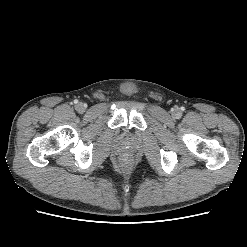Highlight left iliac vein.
Wrapping results in <instances>:
<instances>
[{"label": "left iliac vein", "instance_id": "4c4485c4", "mask_svg": "<svg viewBox=\"0 0 247 247\" xmlns=\"http://www.w3.org/2000/svg\"><path fill=\"white\" fill-rule=\"evenodd\" d=\"M179 114H180V112H179L178 110H174L173 115H174L175 117H177V115H179Z\"/></svg>", "mask_w": 247, "mask_h": 247}]
</instances>
